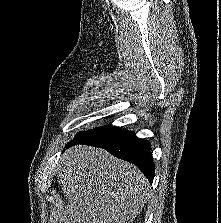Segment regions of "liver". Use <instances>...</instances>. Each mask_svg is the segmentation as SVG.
Segmentation results:
<instances>
[{"label": "liver", "mask_w": 221, "mask_h": 223, "mask_svg": "<svg viewBox=\"0 0 221 223\" xmlns=\"http://www.w3.org/2000/svg\"><path fill=\"white\" fill-rule=\"evenodd\" d=\"M58 181L68 203L55 211V223H131L150 194L136 166L86 145L64 152Z\"/></svg>", "instance_id": "1"}]
</instances>
